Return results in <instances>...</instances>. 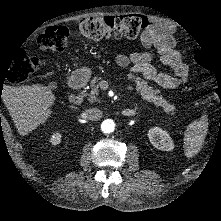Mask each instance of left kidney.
Here are the masks:
<instances>
[{
	"mask_svg": "<svg viewBox=\"0 0 221 221\" xmlns=\"http://www.w3.org/2000/svg\"><path fill=\"white\" fill-rule=\"evenodd\" d=\"M147 136L151 144L159 150L170 152L176 148L173 136L170 134L168 127L162 128L155 124L148 128Z\"/></svg>",
	"mask_w": 221,
	"mask_h": 221,
	"instance_id": "left-kidney-1",
	"label": "left kidney"
}]
</instances>
